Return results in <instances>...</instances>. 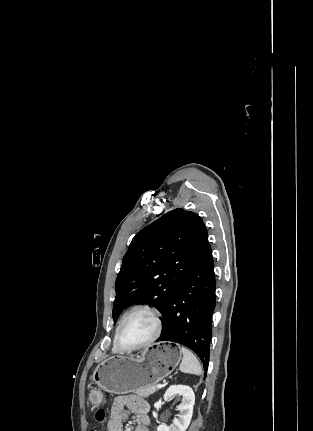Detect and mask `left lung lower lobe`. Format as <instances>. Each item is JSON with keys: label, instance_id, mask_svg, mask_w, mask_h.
<instances>
[{"label": "left lung lower lobe", "instance_id": "obj_1", "mask_svg": "<svg viewBox=\"0 0 313 431\" xmlns=\"http://www.w3.org/2000/svg\"><path fill=\"white\" fill-rule=\"evenodd\" d=\"M213 267L208 244L191 273L168 301L162 314L164 328L157 340L172 341L190 348L201 359L204 370L209 364L211 321L215 308Z\"/></svg>", "mask_w": 313, "mask_h": 431}]
</instances>
